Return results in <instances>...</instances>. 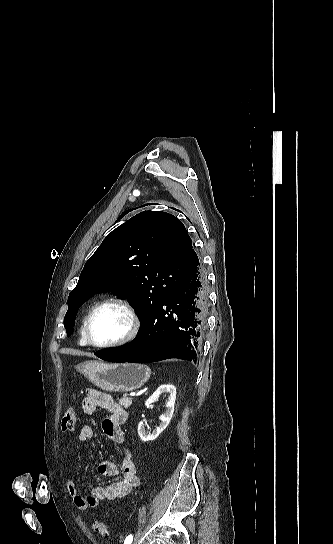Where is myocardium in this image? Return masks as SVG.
Segmentation results:
<instances>
[{"mask_svg":"<svg viewBox=\"0 0 333 544\" xmlns=\"http://www.w3.org/2000/svg\"><path fill=\"white\" fill-rule=\"evenodd\" d=\"M107 304H117V305H120L121 307H123L125 309V311L129 315L130 327H129L128 332L122 338H120V339H118V340H116L114 342L103 343V344L96 343L92 339L91 334H90V324H91L92 318L95 315V313L101 307H103L104 305H107ZM140 326H141V320H140L139 314H138L135 306L133 305V303L129 299H127L125 297H122V296H109V297H106V298L100 300L99 302H97L90 309V311L88 312V314H87V316L85 318V322H84V336H85V339H86L88 345H90L92 347H95V348H98V349L115 348V347L125 345L128 342L132 341L137 336V334H138V332L140 330Z\"/></svg>","mask_w":333,"mask_h":544,"instance_id":"1","label":"myocardium"}]
</instances>
